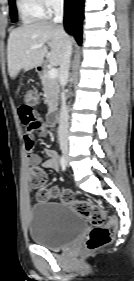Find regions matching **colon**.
Instances as JSON below:
<instances>
[{"label":"colon","instance_id":"5ec220e1","mask_svg":"<svg viewBox=\"0 0 134 281\" xmlns=\"http://www.w3.org/2000/svg\"><path fill=\"white\" fill-rule=\"evenodd\" d=\"M24 102L28 106H35L38 102V94L34 90H28ZM30 183L32 187L38 190L37 196L40 200L59 199L63 203L73 206L91 222L93 228L86 240V247L89 250L106 246L112 242L116 233L117 222L115 218L108 216L101 206L86 200L75 199L69 191L45 189L46 174L40 168L31 170Z\"/></svg>","mask_w":134,"mask_h":281}]
</instances>
